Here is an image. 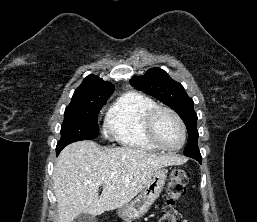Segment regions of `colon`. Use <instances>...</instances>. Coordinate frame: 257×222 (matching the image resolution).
I'll list each match as a JSON object with an SVG mask.
<instances>
[{
	"instance_id": "1",
	"label": "colon",
	"mask_w": 257,
	"mask_h": 222,
	"mask_svg": "<svg viewBox=\"0 0 257 222\" xmlns=\"http://www.w3.org/2000/svg\"><path fill=\"white\" fill-rule=\"evenodd\" d=\"M187 173L182 168L174 169L167 186V201L157 222H182L177 202L186 194Z\"/></svg>"
}]
</instances>
